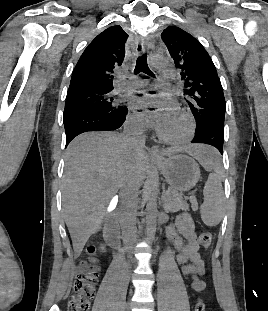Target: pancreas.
<instances>
[{
  "instance_id": "cf45deb5",
  "label": "pancreas",
  "mask_w": 268,
  "mask_h": 311,
  "mask_svg": "<svg viewBox=\"0 0 268 311\" xmlns=\"http://www.w3.org/2000/svg\"><path fill=\"white\" fill-rule=\"evenodd\" d=\"M191 202H195V198L191 197ZM163 207L166 213H175L180 210L189 211V204L183 200L181 194L177 193L173 189H169L163 195ZM192 209H196L197 206L192 204Z\"/></svg>"
}]
</instances>
